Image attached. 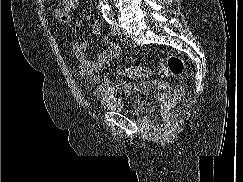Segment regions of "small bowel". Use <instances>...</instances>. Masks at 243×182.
I'll return each instance as SVG.
<instances>
[{
  "label": "small bowel",
  "mask_w": 243,
  "mask_h": 182,
  "mask_svg": "<svg viewBox=\"0 0 243 182\" xmlns=\"http://www.w3.org/2000/svg\"><path fill=\"white\" fill-rule=\"evenodd\" d=\"M80 0H64L63 6L56 8L53 12L54 18L63 25H70L72 17L70 11L74 10ZM102 31V24L99 20H94L92 23V32L96 35ZM105 49L95 55L91 59L88 55L90 50V42L86 40H77L69 38V44L76 59L79 61V72L81 76L90 84L95 85L94 93L97 96H107L115 93L118 89L113 85L111 80L103 76L101 72L106 69L112 59L118 56L121 52L120 46L104 38ZM130 84H123V88L130 89Z\"/></svg>",
  "instance_id": "1"
}]
</instances>
